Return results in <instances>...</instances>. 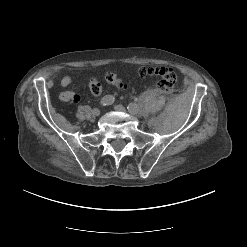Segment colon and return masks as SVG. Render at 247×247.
Instances as JSON below:
<instances>
[{
  "label": "colon",
  "mask_w": 247,
  "mask_h": 247,
  "mask_svg": "<svg viewBox=\"0 0 247 247\" xmlns=\"http://www.w3.org/2000/svg\"><path fill=\"white\" fill-rule=\"evenodd\" d=\"M139 73L141 76H156L158 77L157 87L163 92H171L177 83L176 72L166 66H143L140 68ZM106 82L110 83L118 89L125 88L123 81L113 73H107L104 76ZM90 91L93 95H99L102 90V84L100 81L93 79L89 83Z\"/></svg>",
  "instance_id": "obj_1"
}]
</instances>
